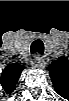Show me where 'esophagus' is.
Instances as JSON below:
<instances>
[{
	"mask_svg": "<svg viewBox=\"0 0 69 101\" xmlns=\"http://www.w3.org/2000/svg\"><path fill=\"white\" fill-rule=\"evenodd\" d=\"M32 66L34 68H43L45 66V62L41 55H36L32 61Z\"/></svg>",
	"mask_w": 69,
	"mask_h": 101,
	"instance_id": "34e87169",
	"label": "esophagus"
}]
</instances>
